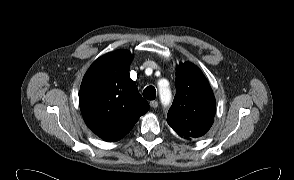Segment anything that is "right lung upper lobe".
Listing matches in <instances>:
<instances>
[{
	"label": "right lung upper lobe",
	"mask_w": 294,
	"mask_h": 180,
	"mask_svg": "<svg viewBox=\"0 0 294 180\" xmlns=\"http://www.w3.org/2000/svg\"><path fill=\"white\" fill-rule=\"evenodd\" d=\"M132 55L117 50L98 58L80 87V110L86 125L100 138L115 142L133 128L149 110L130 78Z\"/></svg>",
	"instance_id": "right-lung-upper-lobe-1"
}]
</instances>
